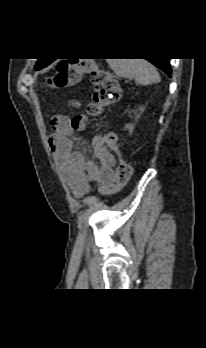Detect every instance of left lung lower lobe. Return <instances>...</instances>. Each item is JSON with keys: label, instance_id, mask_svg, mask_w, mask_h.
<instances>
[{"label": "left lung lower lobe", "instance_id": "0a47b994", "mask_svg": "<svg viewBox=\"0 0 206 348\" xmlns=\"http://www.w3.org/2000/svg\"><path fill=\"white\" fill-rule=\"evenodd\" d=\"M152 64H154L156 67L164 71L169 76L171 75V68L169 64L168 58H161V59H147Z\"/></svg>", "mask_w": 206, "mask_h": 348}]
</instances>
